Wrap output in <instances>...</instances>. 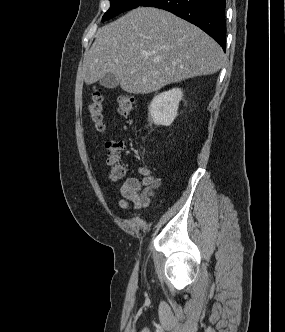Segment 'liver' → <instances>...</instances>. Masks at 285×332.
I'll return each instance as SVG.
<instances>
[{
    "label": "liver",
    "mask_w": 285,
    "mask_h": 332,
    "mask_svg": "<svg viewBox=\"0 0 285 332\" xmlns=\"http://www.w3.org/2000/svg\"><path fill=\"white\" fill-rule=\"evenodd\" d=\"M223 57L220 45L197 26L165 10L138 7L98 30L82 74L91 85L111 73L123 91L148 94L214 74Z\"/></svg>",
    "instance_id": "6515ba94"
}]
</instances>
